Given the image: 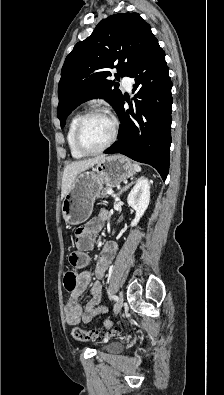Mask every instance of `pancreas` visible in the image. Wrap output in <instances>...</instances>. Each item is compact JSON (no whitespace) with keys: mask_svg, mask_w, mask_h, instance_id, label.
I'll use <instances>...</instances> for the list:
<instances>
[{"mask_svg":"<svg viewBox=\"0 0 224 395\" xmlns=\"http://www.w3.org/2000/svg\"><path fill=\"white\" fill-rule=\"evenodd\" d=\"M109 189H110L109 187L104 188V189L102 190L101 194H100L98 197L107 198L108 195H109V194L107 193V191H108Z\"/></svg>","mask_w":224,"mask_h":395,"instance_id":"pancreas-1","label":"pancreas"}]
</instances>
